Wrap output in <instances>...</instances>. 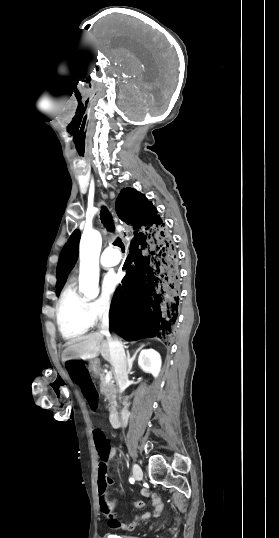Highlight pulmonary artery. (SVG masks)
<instances>
[{
    "instance_id": "obj_1",
    "label": "pulmonary artery",
    "mask_w": 279,
    "mask_h": 538,
    "mask_svg": "<svg viewBox=\"0 0 279 538\" xmlns=\"http://www.w3.org/2000/svg\"><path fill=\"white\" fill-rule=\"evenodd\" d=\"M120 258L118 255L113 254L111 249H105L101 255V266L105 270H110L117 265Z\"/></svg>"
}]
</instances>
